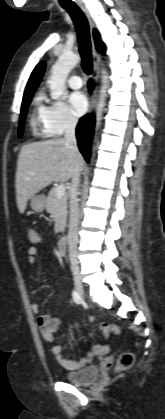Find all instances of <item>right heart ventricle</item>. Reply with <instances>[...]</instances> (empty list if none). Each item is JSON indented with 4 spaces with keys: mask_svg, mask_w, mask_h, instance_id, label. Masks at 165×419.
Returning a JSON list of instances; mask_svg holds the SVG:
<instances>
[{
    "mask_svg": "<svg viewBox=\"0 0 165 419\" xmlns=\"http://www.w3.org/2000/svg\"><path fill=\"white\" fill-rule=\"evenodd\" d=\"M41 109H42L41 98L37 97L35 100V106H34V110L31 117V123H32V126L34 127H38V128L41 127V131L44 133V130L42 128Z\"/></svg>",
    "mask_w": 165,
    "mask_h": 419,
    "instance_id": "right-heart-ventricle-1",
    "label": "right heart ventricle"
}]
</instances>
